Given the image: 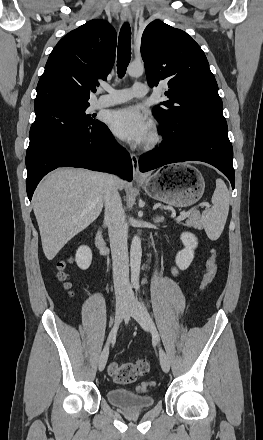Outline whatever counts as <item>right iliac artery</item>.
<instances>
[{"label": "right iliac artery", "instance_id": "right-iliac-artery-1", "mask_svg": "<svg viewBox=\"0 0 263 440\" xmlns=\"http://www.w3.org/2000/svg\"><path fill=\"white\" fill-rule=\"evenodd\" d=\"M118 326H119V324H116V325L113 327V329L111 330V332H110V334H109L108 341H110L111 339H114V338L116 337V333H117V330H118Z\"/></svg>", "mask_w": 263, "mask_h": 440}]
</instances>
